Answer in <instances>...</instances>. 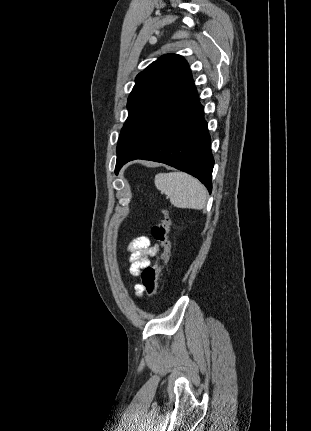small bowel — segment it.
<instances>
[{
  "mask_svg": "<svg viewBox=\"0 0 311 431\" xmlns=\"http://www.w3.org/2000/svg\"><path fill=\"white\" fill-rule=\"evenodd\" d=\"M158 250V245H151L150 239L146 236L134 239L128 246L130 273L136 277L140 276L143 269L150 264V258L154 257ZM143 291L141 284L135 286L137 296H141Z\"/></svg>",
  "mask_w": 311,
  "mask_h": 431,
  "instance_id": "small-bowel-1",
  "label": "small bowel"
}]
</instances>
